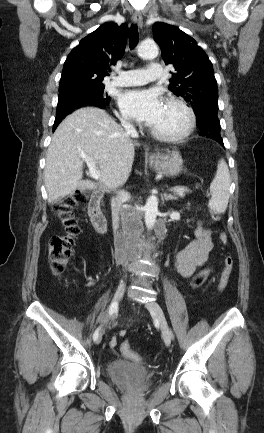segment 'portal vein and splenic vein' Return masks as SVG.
Instances as JSON below:
<instances>
[{
    "label": "portal vein and splenic vein",
    "instance_id": "obj_1",
    "mask_svg": "<svg viewBox=\"0 0 264 433\" xmlns=\"http://www.w3.org/2000/svg\"><path fill=\"white\" fill-rule=\"evenodd\" d=\"M81 157L86 162V164H87V166L89 168V174H90V176L92 178L96 179V180H99L100 179V173H99V171L97 170V168L95 166L94 160L92 158L84 155V154H82ZM170 190L173 191V192H176V193H178L180 195H182L183 193H187V192L190 191L186 187H179V186L172 187Z\"/></svg>",
    "mask_w": 264,
    "mask_h": 433
}]
</instances>
